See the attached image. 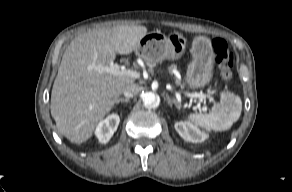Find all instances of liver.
Segmentation results:
<instances>
[{
    "instance_id": "1",
    "label": "liver",
    "mask_w": 292,
    "mask_h": 192,
    "mask_svg": "<svg viewBox=\"0 0 292 192\" xmlns=\"http://www.w3.org/2000/svg\"><path fill=\"white\" fill-rule=\"evenodd\" d=\"M147 34L144 26L88 30L66 48L51 92V115L58 131L72 143L90 139L127 84L135 78L101 69L116 54H130ZM149 64V63H147Z\"/></svg>"
}]
</instances>
